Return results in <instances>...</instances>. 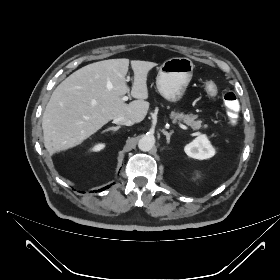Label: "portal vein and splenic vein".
<instances>
[{
  "instance_id": "portal-vein-and-splenic-vein-1",
  "label": "portal vein and splenic vein",
  "mask_w": 280,
  "mask_h": 280,
  "mask_svg": "<svg viewBox=\"0 0 280 280\" xmlns=\"http://www.w3.org/2000/svg\"><path fill=\"white\" fill-rule=\"evenodd\" d=\"M128 99H129L128 96H123L120 100H121L122 102H125V101H127ZM179 127L182 128V129H184V130H187V129H188V127L185 126V125L182 124V123H179Z\"/></svg>"
}]
</instances>
